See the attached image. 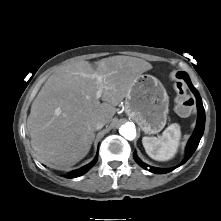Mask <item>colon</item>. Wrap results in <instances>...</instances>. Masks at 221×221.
Listing matches in <instances>:
<instances>
[{"instance_id":"colon-1","label":"colon","mask_w":221,"mask_h":221,"mask_svg":"<svg viewBox=\"0 0 221 221\" xmlns=\"http://www.w3.org/2000/svg\"><path fill=\"white\" fill-rule=\"evenodd\" d=\"M176 91V112L183 117L189 116L192 111L193 100L189 97L186 91V86L182 82L175 83Z\"/></svg>"}]
</instances>
